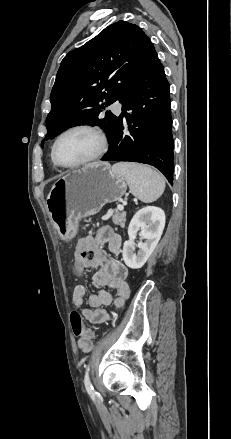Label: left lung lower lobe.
<instances>
[{
    "label": "left lung lower lobe",
    "instance_id": "1",
    "mask_svg": "<svg viewBox=\"0 0 231 439\" xmlns=\"http://www.w3.org/2000/svg\"><path fill=\"white\" fill-rule=\"evenodd\" d=\"M127 110L130 112L128 113ZM129 133L124 131V122ZM103 161L149 164L173 184L174 157L169 83L154 49L122 102Z\"/></svg>",
    "mask_w": 231,
    "mask_h": 439
}]
</instances>
